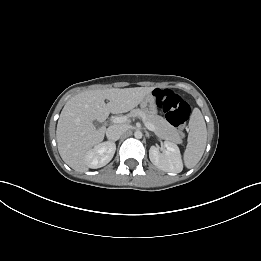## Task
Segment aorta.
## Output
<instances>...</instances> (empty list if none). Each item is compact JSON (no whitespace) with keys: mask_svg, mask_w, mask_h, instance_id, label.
I'll use <instances>...</instances> for the list:
<instances>
[{"mask_svg":"<svg viewBox=\"0 0 261 261\" xmlns=\"http://www.w3.org/2000/svg\"><path fill=\"white\" fill-rule=\"evenodd\" d=\"M134 136H135V138L140 139V138H142L143 135H142L141 131L137 130V131H135Z\"/></svg>","mask_w":261,"mask_h":261,"instance_id":"obj_1","label":"aorta"}]
</instances>
